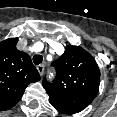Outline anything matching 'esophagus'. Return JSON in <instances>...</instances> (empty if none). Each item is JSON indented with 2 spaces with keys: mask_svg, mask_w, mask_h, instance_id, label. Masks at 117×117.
Masks as SVG:
<instances>
[{
  "mask_svg": "<svg viewBox=\"0 0 117 117\" xmlns=\"http://www.w3.org/2000/svg\"><path fill=\"white\" fill-rule=\"evenodd\" d=\"M37 70H38L39 74L42 75L44 72V65H38Z\"/></svg>",
  "mask_w": 117,
  "mask_h": 117,
  "instance_id": "esophagus-1",
  "label": "esophagus"
}]
</instances>
